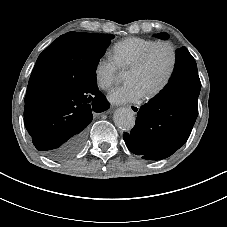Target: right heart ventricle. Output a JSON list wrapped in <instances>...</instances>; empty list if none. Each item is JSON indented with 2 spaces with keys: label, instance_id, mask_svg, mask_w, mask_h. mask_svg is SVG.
Instances as JSON below:
<instances>
[{
  "label": "right heart ventricle",
  "instance_id": "1",
  "mask_svg": "<svg viewBox=\"0 0 227 227\" xmlns=\"http://www.w3.org/2000/svg\"><path fill=\"white\" fill-rule=\"evenodd\" d=\"M155 40L128 37L117 42L113 47V60L118 68L130 69Z\"/></svg>",
  "mask_w": 227,
  "mask_h": 227
}]
</instances>
